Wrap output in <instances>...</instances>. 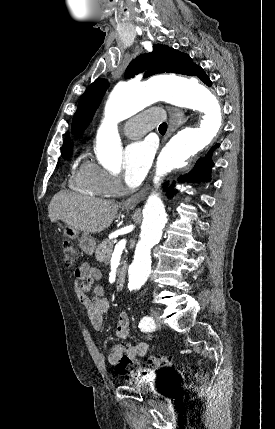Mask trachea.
I'll return each instance as SVG.
<instances>
[{"instance_id":"1","label":"trachea","mask_w":275,"mask_h":429,"mask_svg":"<svg viewBox=\"0 0 275 429\" xmlns=\"http://www.w3.org/2000/svg\"><path fill=\"white\" fill-rule=\"evenodd\" d=\"M166 130H167V124H166V123H162V124L159 126V132H160L161 134H164V133L166 132Z\"/></svg>"}]
</instances>
